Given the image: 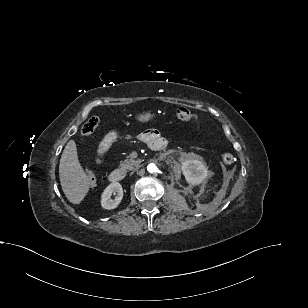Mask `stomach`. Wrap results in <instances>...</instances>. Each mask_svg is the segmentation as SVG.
Segmentation results:
<instances>
[{
    "label": "stomach",
    "instance_id": "1",
    "mask_svg": "<svg viewBox=\"0 0 308 308\" xmlns=\"http://www.w3.org/2000/svg\"><path fill=\"white\" fill-rule=\"evenodd\" d=\"M154 115L151 114L150 112H144V113H140L139 115H137L136 119L141 122V123H147L151 120H153Z\"/></svg>",
    "mask_w": 308,
    "mask_h": 308
}]
</instances>
